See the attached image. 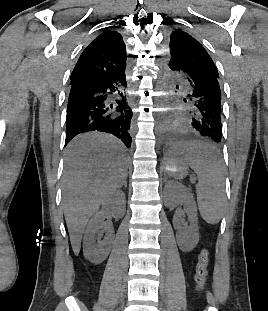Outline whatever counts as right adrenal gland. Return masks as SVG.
Here are the masks:
<instances>
[{"mask_svg":"<svg viewBox=\"0 0 268 311\" xmlns=\"http://www.w3.org/2000/svg\"><path fill=\"white\" fill-rule=\"evenodd\" d=\"M124 186L125 188H127V181L126 178L123 180V182L120 184L119 189Z\"/></svg>","mask_w":268,"mask_h":311,"instance_id":"1","label":"right adrenal gland"}]
</instances>
